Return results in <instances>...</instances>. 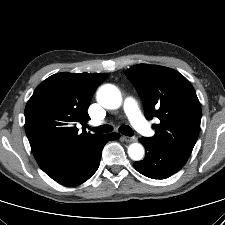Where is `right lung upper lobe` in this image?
Masks as SVG:
<instances>
[{
    "label": "right lung upper lobe",
    "mask_w": 225,
    "mask_h": 225,
    "mask_svg": "<svg viewBox=\"0 0 225 225\" xmlns=\"http://www.w3.org/2000/svg\"><path fill=\"white\" fill-rule=\"evenodd\" d=\"M107 73H57L35 89L25 107V131L39 166L57 151L94 139L99 134L78 133L76 123L87 113L96 88Z\"/></svg>",
    "instance_id": "right-lung-upper-lobe-1"
}]
</instances>
